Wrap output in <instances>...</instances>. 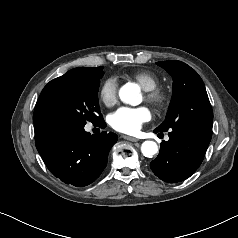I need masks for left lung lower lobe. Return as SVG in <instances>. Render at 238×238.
<instances>
[{
	"label": "left lung lower lobe",
	"instance_id": "0a47b994",
	"mask_svg": "<svg viewBox=\"0 0 238 238\" xmlns=\"http://www.w3.org/2000/svg\"><path fill=\"white\" fill-rule=\"evenodd\" d=\"M169 131V140L162 141L159 155L150 163V168L161 180L176 183L198 169L212 135L187 129ZM154 132L161 131L155 129Z\"/></svg>",
	"mask_w": 238,
	"mask_h": 238
}]
</instances>
